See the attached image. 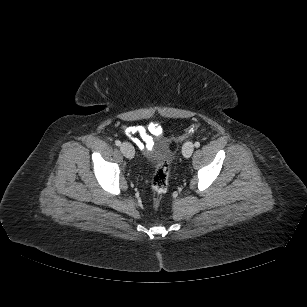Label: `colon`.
Masks as SVG:
<instances>
[{
  "label": "colon",
  "instance_id": "colon-1",
  "mask_svg": "<svg viewBox=\"0 0 307 307\" xmlns=\"http://www.w3.org/2000/svg\"><path fill=\"white\" fill-rule=\"evenodd\" d=\"M198 128V124L191 125L186 131V136L194 133ZM170 177V162L166 156L160 158L156 170L152 177V188L154 191L153 205L158 207L161 202L162 195L167 191Z\"/></svg>",
  "mask_w": 307,
  "mask_h": 307
}]
</instances>
